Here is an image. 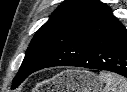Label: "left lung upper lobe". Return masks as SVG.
Listing matches in <instances>:
<instances>
[{"label": "left lung upper lobe", "mask_w": 127, "mask_h": 92, "mask_svg": "<svg viewBox=\"0 0 127 92\" xmlns=\"http://www.w3.org/2000/svg\"><path fill=\"white\" fill-rule=\"evenodd\" d=\"M110 14V8L99 0L63 2L33 37L12 88H17L54 51Z\"/></svg>", "instance_id": "5c2ea615"}]
</instances>
